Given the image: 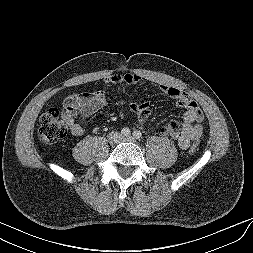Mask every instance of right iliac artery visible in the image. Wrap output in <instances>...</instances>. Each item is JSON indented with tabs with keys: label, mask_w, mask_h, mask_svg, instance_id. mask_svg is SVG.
I'll return each mask as SVG.
<instances>
[{
	"label": "right iliac artery",
	"mask_w": 253,
	"mask_h": 253,
	"mask_svg": "<svg viewBox=\"0 0 253 253\" xmlns=\"http://www.w3.org/2000/svg\"><path fill=\"white\" fill-rule=\"evenodd\" d=\"M130 133H131V131H130V129L127 128V127L123 128V129L121 130V135H122V136H129Z\"/></svg>",
	"instance_id": "right-iliac-artery-1"
}]
</instances>
